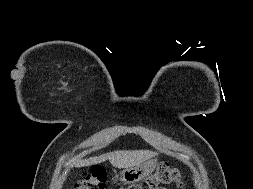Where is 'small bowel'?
<instances>
[{
  "label": "small bowel",
  "instance_id": "1",
  "mask_svg": "<svg viewBox=\"0 0 253 189\" xmlns=\"http://www.w3.org/2000/svg\"><path fill=\"white\" fill-rule=\"evenodd\" d=\"M160 189H166V188H164V187H160Z\"/></svg>",
  "mask_w": 253,
  "mask_h": 189
}]
</instances>
